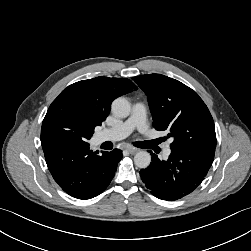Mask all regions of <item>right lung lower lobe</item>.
Segmentation results:
<instances>
[{
	"mask_svg": "<svg viewBox=\"0 0 251 251\" xmlns=\"http://www.w3.org/2000/svg\"><path fill=\"white\" fill-rule=\"evenodd\" d=\"M50 173L70 196L90 199L102 193L115 175L122 151L114 149L97 155L89 145L64 142L42 144Z\"/></svg>",
	"mask_w": 251,
	"mask_h": 251,
	"instance_id": "98d812e1",
	"label": "right lung lower lobe"
}]
</instances>
